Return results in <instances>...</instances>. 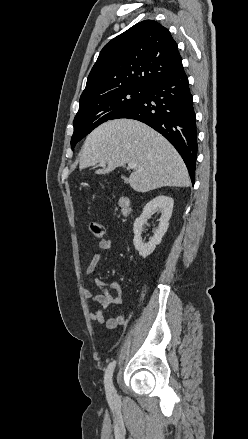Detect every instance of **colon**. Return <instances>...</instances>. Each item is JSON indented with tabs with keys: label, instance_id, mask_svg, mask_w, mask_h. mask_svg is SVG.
<instances>
[{
	"label": "colon",
	"instance_id": "obj_1",
	"mask_svg": "<svg viewBox=\"0 0 248 439\" xmlns=\"http://www.w3.org/2000/svg\"><path fill=\"white\" fill-rule=\"evenodd\" d=\"M89 229H90L91 234L95 238H102L104 233H105L104 226L100 222H98V221L90 222Z\"/></svg>",
	"mask_w": 248,
	"mask_h": 439
}]
</instances>
